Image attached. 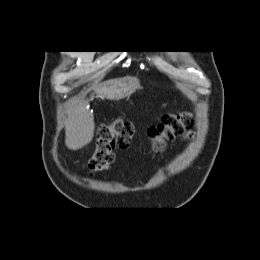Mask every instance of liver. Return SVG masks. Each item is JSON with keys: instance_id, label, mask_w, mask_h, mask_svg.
<instances>
[{"instance_id": "obj_1", "label": "liver", "mask_w": 260, "mask_h": 260, "mask_svg": "<svg viewBox=\"0 0 260 260\" xmlns=\"http://www.w3.org/2000/svg\"><path fill=\"white\" fill-rule=\"evenodd\" d=\"M117 80L106 81L95 88L97 95L113 100L111 89ZM88 100L76 101L70 105L69 119L65 132V144L71 150H78L89 144L94 137V117L87 108Z\"/></svg>"}]
</instances>
